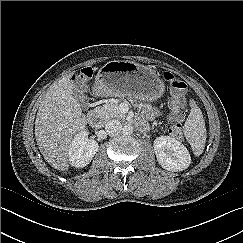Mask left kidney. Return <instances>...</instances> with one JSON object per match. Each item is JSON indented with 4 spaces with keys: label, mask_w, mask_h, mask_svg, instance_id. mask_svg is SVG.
Returning <instances> with one entry per match:
<instances>
[{
    "label": "left kidney",
    "mask_w": 243,
    "mask_h": 243,
    "mask_svg": "<svg viewBox=\"0 0 243 243\" xmlns=\"http://www.w3.org/2000/svg\"><path fill=\"white\" fill-rule=\"evenodd\" d=\"M154 150L159 164L166 170L179 172L187 169L191 156L187 148L170 136H160L154 140Z\"/></svg>",
    "instance_id": "left-kidney-1"
}]
</instances>
